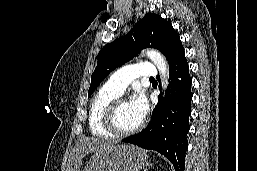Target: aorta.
I'll use <instances>...</instances> for the list:
<instances>
[{
	"instance_id": "aorta-1",
	"label": "aorta",
	"mask_w": 257,
	"mask_h": 171,
	"mask_svg": "<svg viewBox=\"0 0 257 171\" xmlns=\"http://www.w3.org/2000/svg\"><path fill=\"white\" fill-rule=\"evenodd\" d=\"M144 55H146L158 68L161 82H162V88L165 89L168 84V64L164 56L154 49H147L144 52Z\"/></svg>"
}]
</instances>
